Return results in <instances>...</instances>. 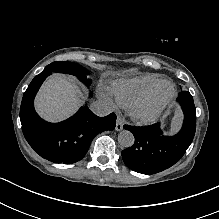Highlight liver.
<instances>
[{"instance_id": "1", "label": "liver", "mask_w": 219, "mask_h": 219, "mask_svg": "<svg viewBox=\"0 0 219 219\" xmlns=\"http://www.w3.org/2000/svg\"><path fill=\"white\" fill-rule=\"evenodd\" d=\"M79 87L60 74H52L41 84L33 100L36 114L45 122L61 123L81 106Z\"/></svg>"}]
</instances>
